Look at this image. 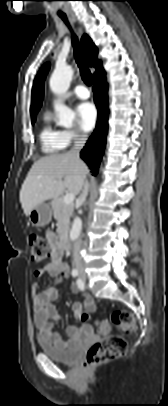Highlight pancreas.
Here are the masks:
<instances>
[{"mask_svg":"<svg viewBox=\"0 0 168 406\" xmlns=\"http://www.w3.org/2000/svg\"><path fill=\"white\" fill-rule=\"evenodd\" d=\"M54 218L58 222L57 233L60 238L67 235L70 225V217L73 214V204H65L63 198H54L51 202Z\"/></svg>","mask_w":168,"mask_h":406,"instance_id":"pancreas-1","label":"pancreas"}]
</instances>
